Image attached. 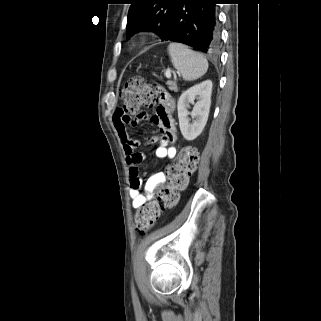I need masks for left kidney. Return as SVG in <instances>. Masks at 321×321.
Segmentation results:
<instances>
[{
	"label": "left kidney",
	"instance_id": "obj_1",
	"mask_svg": "<svg viewBox=\"0 0 321 321\" xmlns=\"http://www.w3.org/2000/svg\"><path fill=\"white\" fill-rule=\"evenodd\" d=\"M211 94L212 81L206 80L189 88L180 96L177 104L178 119L180 131L186 140L192 141L202 133L208 120ZM195 99L197 102L194 104ZM190 104H194L192 112L188 111ZM188 115L194 119L192 123Z\"/></svg>",
	"mask_w": 321,
	"mask_h": 321
}]
</instances>
